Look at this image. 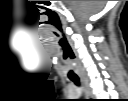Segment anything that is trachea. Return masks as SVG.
<instances>
[{
  "instance_id": "trachea-1",
  "label": "trachea",
  "mask_w": 128,
  "mask_h": 101,
  "mask_svg": "<svg viewBox=\"0 0 128 101\" xmlns=\"http://www.w3.org/2000/svg\"><path fill=\"white\" fill-rule=\"evenodd\" d=\"M68 78L74 82L75 85L79 86L80 85V81L78 76L76 75L75 71L73 68H70L68 71Z\"/></svg>"
}]
</instances>
